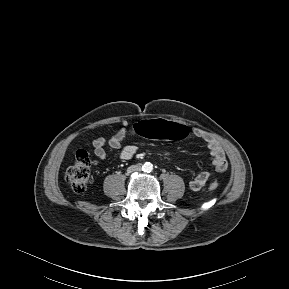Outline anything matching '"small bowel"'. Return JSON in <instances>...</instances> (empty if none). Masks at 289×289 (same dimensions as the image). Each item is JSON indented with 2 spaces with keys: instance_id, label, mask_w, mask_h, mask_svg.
I'll use <instances>...</instances> for the list:
<instances>
[{
  "instance_id": "small-bowel-1",
  "label": "small bowel",
  "mask_w": 289,
  "mask_h": 289,
  "mask_svg": "<svg viewBox=\"0 0 289 289\" xmlns=\"http://www.w3.org/2000/svg\"><path fill=\"white\" fill-rule=\"evenodd\" d=\"M133 126L134 124L123 121L120 128L112 135L108 141L103 137L94 139L93 147L95 156L101 161L106 159V144H108L113 149L121 148L125 137L128 134H135L133 131ZM193 134L205 141L212 157L214 166L213 171H202L190 181V188L192 190H199L205 186L206 182L213 174L226 171L228 168V162L223 148L215 139L209 137L203 130L198 128L193 130ZM136 151V146L125 145L121 149L120 158L122 160H129L135 155Z\"/></svg>"
}]
</instances>
